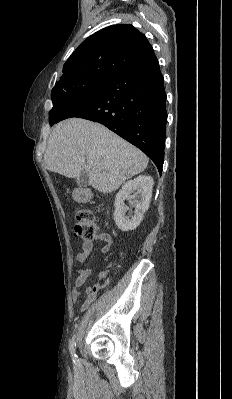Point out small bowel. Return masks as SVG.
Wrapping results in <instances>:
<instances>
[{"instance_id":"obj_1","label":"small bowel","mask_w":232,"mask_h":399,"mask_svg":"<svg viewBox=\"0 0 232 399\" xmlns=\"http://www.w3.org/2000/svg\"><path fill=\"white\" fill-rule=\"evenodd\" d=\"M111 246H112L111 242H106L100 249V254H106L111 248ZM92 249H93V243L90 241H85L83 243L82 251L79 252L78 254V262L84 264L89 258ZM87 278H88V272L86 270H80L77 276L75 277L73 281V292L70 296V302L72 305H75L76 302L79 300L80 288L82 284L87 280ZM85 291H86V297L80 307V311H84L85 309H87L93 300V287L91 285H88Z\"/></svg>"}]
</instances>
